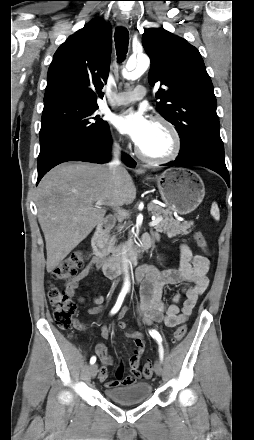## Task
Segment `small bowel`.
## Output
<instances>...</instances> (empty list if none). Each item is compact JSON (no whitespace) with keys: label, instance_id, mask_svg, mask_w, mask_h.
I'll return each mask as SVG.
<instances>
[{"label":"small bowel","instance_id":"obj_1","mask_svg":"<svg viewBox=\"0 0 254 440\" xmlns=\"http://www.w3.org/2000/svg\"><path fill=\"white\" fill-rule=\"evenodd\" d=\"M150 237L152 243L157 239L156 235L143 236L142 239ZM101 268V262L98 258H93L83 270L76 276L70 278L65 283V291L70 297L77 293L80 283L91 276L95 271ZM209 260L201 255H194L191 249L183 244L180 246V265L178 268L160 271L154 267L141 266L136 272V283L139 287L140 300L136 305V311L141 322L145 325L153 323H163L169 328H174L179 324L185 323L191 315L199 297L207 290L209 280L207 272ZM168 285H183L181 293L174 295L171 302L163 300V292ZM185 296L182 306H179L181 297ZM81 304L85 303L84 297H79ZM104 298L101 294L93 297L94 307L87 312L91 315L99 314L104 310ZM125 314L123 310L120 316ZM119 327L125 330V334L134 343V349L129 358V367L131 375L123 378L124 368L122 365L116 370L114 380L107 381V366L113 363V359L107 353V347L104 343H97L95 352L98 355L102 367L99 372V379L106 382L107 388H114L135 383L141 376L140 361L145 348V340L142 334L126 329L124 322H119ZM101 336L107 339L110 330L103 325L100 328Z\"/></svg>","mask_w":254,"mask_h":440}]
</instances>
